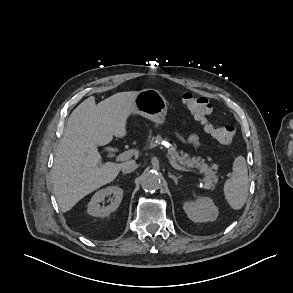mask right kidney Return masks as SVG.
I'll return each mask as SVG.
<instances>
[{"label": "right kidney", "mask_w": 293, "mask_h": 293, "mask_svg": "<svg viewBox=\"0 0 293 293\" xmlns=\"http://www.w3.org/2000/svg\"><path fill=\"white\" fill-rule=\"evenodd\" d=\"M113 195L111 203L107 206H101L107 196ZM123 190L118 186H109L96 192L88 204L87 212L91 216L106 217L114 212L122 201Z\"/></svg>", "instance_id": "1"}]
</instances>
